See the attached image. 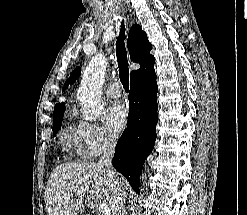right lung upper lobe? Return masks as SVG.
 <instances>
[{
    "label": "right lung upper lobe",
    "mask_w": 247,
    "mask_h": 215,
    "mask_svg": "<svg viewBox=\"0 0 247 215\" xmlns=\"http://www.w3.org/2000/svg\"><path fill=\"white\" fill-rule=\"evenodd\" d=\"M128 50L130 58L133 62L140 64V69L152 62L154 59L153 55L150 54L152 44L149 43L147 35L142 31L139 25H133L129 31L127 39ZM137 70L132 71L131 75ZM65 103H57L54 108V115L63 112Z\"/></svg>",
    "instance_id": "cb5924a9"
}]
</instances>
